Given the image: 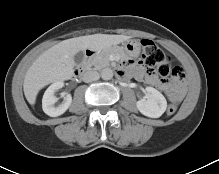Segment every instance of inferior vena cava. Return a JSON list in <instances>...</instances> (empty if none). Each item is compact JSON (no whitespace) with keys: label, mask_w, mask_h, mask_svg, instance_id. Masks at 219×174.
Listing matches in <instances>:
<instances>
[{"label":"inferior vena cava","mask_w":219,"mask_h":174,"mask_svg":"<svg viewBox=\"0 0 219 174\" xmlns=\"http://www.w3.org/2000/svg\"><path fill=\"white\" fill-rule=\"evenodd\" d=\"M99 73L94 70L86 71L83 75V81L86 83L93 82L99 79Z\"/></svg>","instance_id":"1"}]
</instances>
